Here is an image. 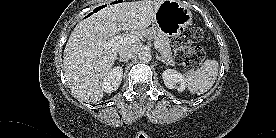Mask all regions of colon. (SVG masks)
Here are the masks:
<instances>
[{
	"label": "colon",
	"instance_id": "colon-1",
	"mask_svg": "<svg viewBox=\"0 0 276 138\" xmlns=\"http://www.w3.org/2000/svg\"><path fill=\"white\" fill-rule=\"evenodd\" d=\"M204 36L205 33L201 28L192 27L173 40L175 59L178 64L193 67L204 60V49L193 46L194 43L202 41Z\"/></svg>",
	"mask_w": 276,
	"mask_h": 138
}]
</instances>
